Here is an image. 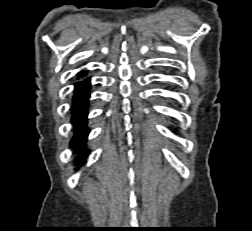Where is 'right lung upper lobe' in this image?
Masks as SVG:
<instances>
[{
    "label": "right lung upper lobe",
    "mask_w": 252,
    "mask_h": 231,
    "mask_svg": "<svg viewBox=\"0 0 252 231\" xmlns=\"http://www.w3.org/2000/svg\"><path fill=\"white\" fill-rule=\"evenodd\" d=\"M78 75H79V77L85 76V75H86V72H85V71H82V72H80Z\"/></svg>",
    "instance_id": "cb5924a9"
}]
</instances>
